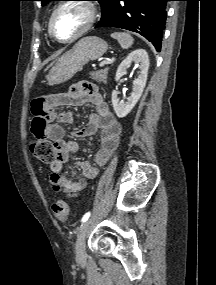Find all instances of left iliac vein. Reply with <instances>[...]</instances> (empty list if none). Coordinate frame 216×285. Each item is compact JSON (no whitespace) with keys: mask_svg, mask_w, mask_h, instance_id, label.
Listing matches in <instances>:
<instances>
[{"mask_svg":"<svg viewBox=\"0 0 216 285\" xmlns=\"http://www.w3.org/2000/svg\"><path fill=\"white\" fill-rule=\"evenodd\" d=\"M91 224V219L84 222L79 229L75 250H76V257L77 259L81 260L85 257V240Z\"/></svg>","mask_w":216,"mask_h":285,"instance_id":"4c4485c4","label":"left iliac vein"}]
</instances>
